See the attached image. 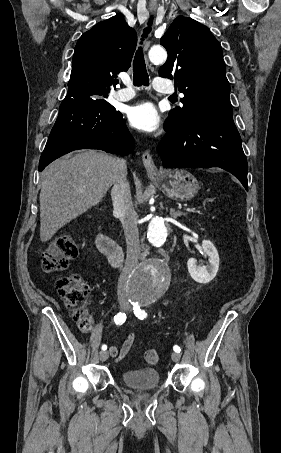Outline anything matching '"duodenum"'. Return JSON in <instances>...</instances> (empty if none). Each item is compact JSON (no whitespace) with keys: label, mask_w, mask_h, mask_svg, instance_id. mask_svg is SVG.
Returning <instances> with one entry per match:
<instances>
[{"label":"duodenum","mask_w":281,"mask_h":453,"mask_svg":"<svg viewBox=\"0 0 281 453\" xmlns=\"http://www.w3.org/2000/svg\"><path fill=\"white\" fill-rule=\"evenodd\" d=\"M97 246L101 253L106 255L110 263L117 267L123 261V251L121 247L109 236L100 234L97 238Z\"/></svg>","instance_id":"duodenum-1"}]
</instances>
